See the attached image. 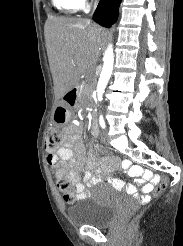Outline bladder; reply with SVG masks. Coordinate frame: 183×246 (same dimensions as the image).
Instances as JSON below:
<instances>
[{
	"label": "bladder",
	"instance_id": "bladder-1",
	"mask_svg": "<svg viewBox=\"0 0 183 246\" xmlns=\"http://www.w3.org/2000/svg\"><path fill=\"white\" fill-rule=\"evenodd\" d=\"M118 201L113 190L97 184L88 196L67 212L69 221L76 226H108L116 213Z\"/></svg>",
	"mask_w": 183,
	"mask_h": 246
}]
</instances>
